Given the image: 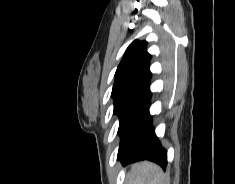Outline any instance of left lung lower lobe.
Returning <instances> with one entry per match:
<instances>
[{"mask_svg": "<svg viewBox=\"0 0 235 184\" xmlns=\"http://www.w3.org/2000/svg\"><path fill=\"white\" fill-rule=\"evenodd\" d=\"M117 159L123 165L140 160H150L159 164L163 170L167 166V152L155 135L149 103L136 122L134 130Z\"/></svg>", "mask_w": 235, "mask_h": 184, "instance_id": "obj_1", "label": "left lung lower lobe"}]
</instances>
